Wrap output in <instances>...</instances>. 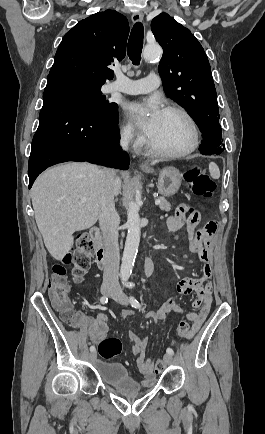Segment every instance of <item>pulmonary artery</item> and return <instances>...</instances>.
Instances as JSON below:
<instances>
[{
    "label": "pulmonary artery",
    "mask_w": 265,
    "mask_h": 434,
    "mask_svg": "<svg viewBox=\"0 0 265 434\" xmlns=\"http://www.w3.org/2000/svg\"><path fill=\"white\" fill-rule=\"evenodd\" d=\"M119 79L121 81H116L111 85V91H119L131 95L142 94L151 90H156L158 86L157 84L159 82V76L155 73L146 75L144 78L138 81H133L125 76H121Z\"/></svg>",
    "instance_id": "pulmonary-artery-1"
}]
</instances>
